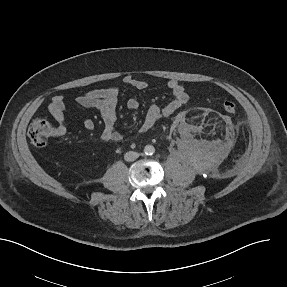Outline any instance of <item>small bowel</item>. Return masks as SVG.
I'll list each match as a JSON object with an SVG mask.
<instances>
[{
  "label": "small bowel",
  "mask_w": 287,
  "mask_h": 287,
  "mask_svg": "<svg viewBox=\"0 0 287 287\" xmlns=\"http://www.w3.org/2000/svg\"><path fill=\"white\" fill-rule=\"evenodd\" d=\"M122 83L138 90H143L147 87L145 81L132 76H125L122 79ZM167 89L170 91L172 99L164 106L152 105L148 108L139 127L141 132L150 130L159 119L171 116L187 103L189 96L184 85L180 81L175 79L168 81ZM119 95L120 86L115 85L91 90L80 94L75 98L77 105L86 108H95L100 112L103 120L101 139L105 142H120L123 140V135L116 130ZM126 105L130 110L139 108V102L135 98H130ZM48 110L57 123L55 133L57 135H63L66 132L65 115L67 112V105L64 97L62 95L53 97L48 105ZM83 124L87 130H93L95 127V124L91 119H85Z\"/></svg>",
  "instance_id": "small-bowel-1"
}]
</instances>
